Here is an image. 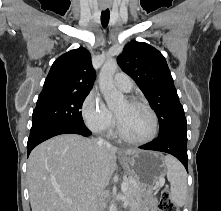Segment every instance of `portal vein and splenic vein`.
<instances>
[{
	"label": "portal vein and splenic vein",
	"instance_id": "obj_1",
	"mask_svg": "<svg viewBox=\"0 0 221 211\" xmlns=\"http://www.w3.org/2000/svg\"><path fill=\"white\" fill-rule=\"evenodd\" d=\"M162 184H164V181H161V182H159V184L158 185H162ZM127 189H128V183L126 182V181H123L122 182V184H121V190H122V192H126L127 191ZM67 203H72V199L71 198H66V199H64Z\"/></svg>",
	"mask_w": 221,
	"mask_h": 211
}]
</instances>
